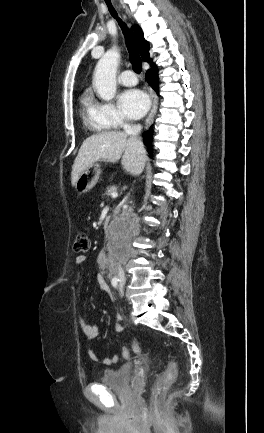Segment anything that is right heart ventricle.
Wrapping results in <instances>:
<instances>
[{
    "label": "right heart ventricle",
    "mask_w": 264,
    "mask_h": 433,
    "mask_svg": "<svg viewBox=\"0 0 264 433\" xmlns=\"http://www.w3.org/2000/svg\"><path fill=\"white\" fill-rule=\"evenodd\" d=\"M82 103V118L85 125L94 132H104L108 126L101 121L94 109V103L89 95H84L81 98Z\"/></svg>",
    "instance_id": "1"
}]
</instances>
